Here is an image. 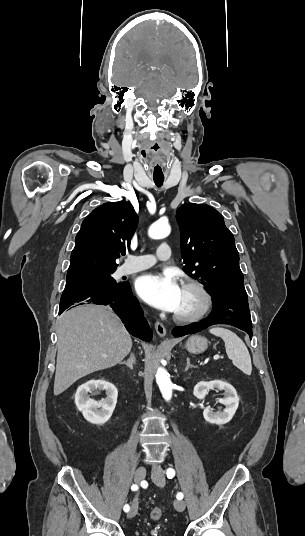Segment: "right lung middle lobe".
<instances>
[{"instance_id":"obj_1","label":"right lung middle lobe","mask_w":305,"mask_h":536,"mask_svg":"<svg viewBox=\"0 0 305 536\" xmlns=\"http://www.w3.org/2000/svg\"><path fill=\"white\" fill-rule=\"evenodd\" d=\"M114 270L88 274L82 276H74L67 278L66 286L68 287H94L100 289H113L119 287L121 283H117L113 277Z\"/></svg>"}]
</instances>
